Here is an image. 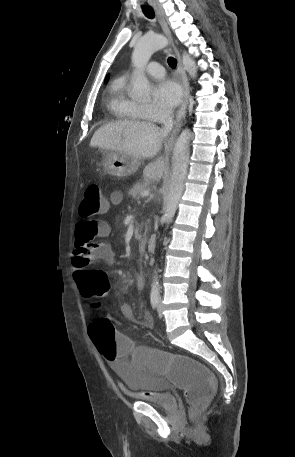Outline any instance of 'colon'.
Instances as JSON below:
<instances>
[{
  "label": "colon",
  "mask_w": 295,
  "mask_h": 457,
  "mask_svg": "<svg viewBox=\"0 0 295 457\" xmlns=\"http://www.w3.org/2000/svg\"><path fill=\"white\" fill-rule=\"evenodd\" d=\"M108 202L103 196L99 185L89 184L85 189L84 198L79 206V215L85 220L106 212ZM88 249L76 251L80 258L77 266L86 263L84 256ZM110 293V274L100 269L87 271V286L83 296L91 308H95L96 300L103 294ZM89 334L97 355H104V360L113 363L131 362L132 366H140L141 372H162L168 383H176V390H184V395L193 411L198 410L210 397L212 390H217V381L210 369H204V363L191 361L189 357H180L179 351H164L163 346H136L129 341L127 330H115L107 318L94 320Z\"/></svg>",
  "instance_id": "5ec220e1"
}]
</instances>
